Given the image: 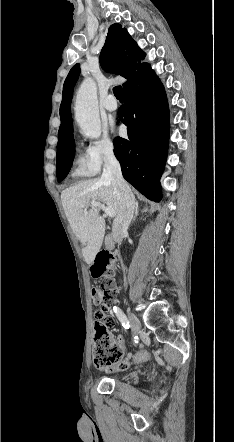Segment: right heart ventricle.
<instances>
[{
	"instance_id": "1",
	"label": "right heart ventricle",
	"mask_w": 234,
	"mask_h": 442,
	"mask_svg": "<svg viewBox=\"0 0 234 442\" xmlns=\"http://www.w3.org/2000/svg\"><path fill=\"white\" fill-rule=\"evenodd\" d=\"M95 173L96 171L91 166L86 153L78 150L77 155L73 160L71 175L74 178H85L91 177Z\"/></svg>"
}]
</instances>
